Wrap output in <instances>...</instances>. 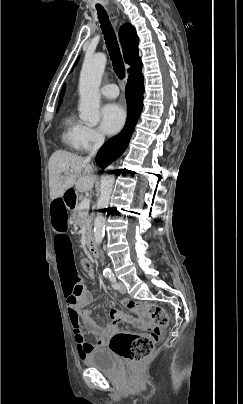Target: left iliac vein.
Segmentation results:
<instances>
[{
  "instance_id": "left-iliac-vein-1",
  "label": "left iliac vein",
  "mask_w": 243,
  "mask_h": 404,
  "mask_svg": "<svg viewBox=\"0 0 243 404\" xmlns=\"http://www.w3.org/2000/svg\"><path fill=\"white\" fill-rule=\"evenodd\" d=\"M118 289H119V292L122 293V294H125L127 292L126 286L122 282H119V288Z\"/></svg>"
}]
</instances>
